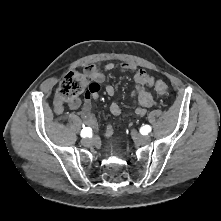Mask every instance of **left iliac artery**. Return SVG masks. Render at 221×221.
Listing matches in <instances>:
<instances>
[{
    "instance_id": "obj_1",
    "label": "left iliac artery",
    "mask_w": 221,
    "mask_h": 221,
    "mask_svg": "<svg viewBox=\"0 0 221 221\" xmlns=\"http://www.w3.org/2000/svg\"><path fill=\"white\" fill-rule=\"evenodd\" d=\"M152 128L150 125H144L143 127H141L140 131L142 134H147L149 132H151Z\"/></svg>"
}]
</instances>
